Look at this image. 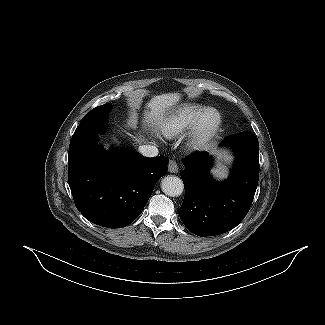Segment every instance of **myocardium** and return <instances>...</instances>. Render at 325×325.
<instances>
[{
	"label": "myocardium",
	"instance_id": "f54148a6",
	"mask_svg": "<svg viewBox=\"0 0 325 325\" xmlns=\"http://www.w3.org/2000/svg\"><path fill=\"white\" fill-rule=\"evenodd\" d=\"M221 124L222 116L217 109H204L186 135V146L193 151L205 148L217 134Z\"/></svg>",
	"mask_w": 325,
	"mask_h": 325
}]
</instances>
